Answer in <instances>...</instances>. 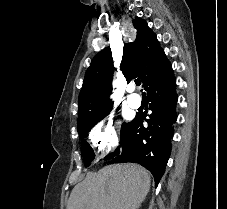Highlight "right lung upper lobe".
I'll use <instances>...</instances> for the list:
<instances>
[{"instance_id":"obj_1","label":"right lung upper lobe","mask_w":227,"mask_h":209,"mask_svg":"<svg viewBox=\"0 0 227 209\" xmlns=\"http://www.w3.org/2000/svg\"><path fill=\"white\" fill-rule=\"evenodd\" d=\"M137 29L134 42L124 44L120 68L129 82L139 77L146 89L149 81L168 60L155 33L140 18L133 20ZM113 59L109 47L99 52L86 71L78 98V118L100 114L106 107L105 101L111 92Z\"/></svg>"}]
</instances>
